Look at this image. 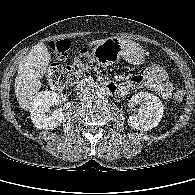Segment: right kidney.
I'll list each match as a JSON object with an SVG mask.
<instances>
[{
	"label": "right kidney",
	"instance_id": "right-kidney-1",
	"mask_svg": "<svg viewBox=\"0 0 195 195\" xmlns=\"http://www.w3.org/2000/svg\"><path fill=\"white\" fill-rule=\"evenodd\" d=\"M61 104V96L54 91H41L37 95L31 112V120L37 129L53 130L58 127L65 118V113L55 110L49 116L47 112L52 105Z\"/></svg>",
	"mask_w": 195,
	"mask_h": 195
}]
</instances>
